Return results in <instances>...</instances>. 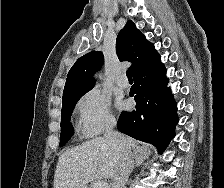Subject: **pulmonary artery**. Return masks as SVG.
I'll return each mask as SVG.
<instances>
[{"label":"pulmonary artery","mask_w":224,"mask_h":188,"mask_svg":"<svg viewBox=\"0 0 224 188\" xmlns=\"http://www.w3.org/2000/svg\"><path fill=\"white\" fill-rule=\"evenodd\" d=\"M116 84H117L119 87H121V88H126V87H128V79H127V77H126L124 74L120 75V76L117 78V80H116Z\"/></svg>","instance_id":"1"}]
</instances>
